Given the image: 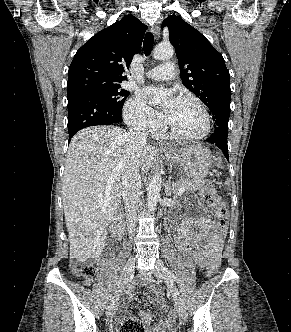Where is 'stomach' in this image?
<instances>
[{
  "mask_svg": "<svg viewBox=\"0 0 291 332\" xmlns=\"http://www.w3.org/2000/svg\"><path fill=\"white\" fill-rule=\"evenodd\" d=\"M168 162L182 169L193 179L206 177L213 164L209 149L202 146L168 147L163 150Z\"/></svg>",
  "mask_w": 291,
  "mask_h": 332,
  "instance_id": "obj_1",
  "label": "stomach"
}]
</instances>
